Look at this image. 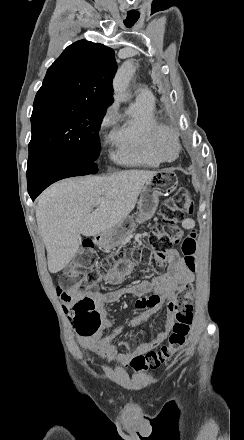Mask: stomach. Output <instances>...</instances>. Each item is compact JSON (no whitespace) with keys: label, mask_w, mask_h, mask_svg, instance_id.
Wrapping results in <instances>:
<instances>
[{"label":"stomach","mask_w":244,"mask_h":440,"mask_svg":"<svg viewBox=\"0 0 244 440\" xmlns=\"http://www.w3.org/2000/svg\"><path fill=\"white\" fill-rule=\"evenodd\" d=\"M178 186V178L175 172H157L152 178H149L145 182V186L140 194L138 202V214L136 220H133L131 216L119 222L110 230L101 232L98 236H95V244H98L99 248H115L119 246L120 242L127 238L129 234H132L136 228V222L143 224L146 220H150L154 216L158 204L159 196H169Z\"/></svg>","instance_id":"0dacf381"}]
</instances>
